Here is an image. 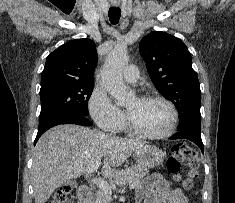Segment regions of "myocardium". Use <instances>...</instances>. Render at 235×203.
<instances>
[{
  "label": "myocardium",
  "instance_id": "f54148a6",
  "mask_svg": "<svg viewBox=\"0 0 235 203\" xmlns=\"http://www.w3.org/2000/svg\"><path fill=\"white\" fill-rule=\"evenodd\" d=\"M140 99L145 100V101H158V102L165 104L169 108L170 114H171L169 124L166 127V129L163 130L162 132L148 133L137 128L133 124L131 119L129 118V115L126 114L125 124H126L127 130L133 135H136L138 137L145 138V139H163V138L171 136L174 133L177 127V123H178L179 116H178V111H177L176 106L169 99L163 96H159V95H144Z\"/></svg>",
  "mask_w": 235,
  "mask_h": 203
}]
</instances>
